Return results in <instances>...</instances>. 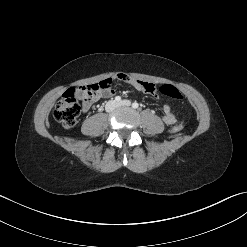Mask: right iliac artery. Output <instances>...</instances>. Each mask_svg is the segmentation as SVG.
Returning a JSON list of instances; mask_svg holds the SVG:
<instances>
[{
  "mask_svg": "<svg viewBox=\"0 0 247 247\" xmlns=\"http://www.w3.org/2000/svg\"><path fill=\"white\" fill-rule=\"evenodd\" d=\"M115 101H116V102H120V101H121V97H120V96H116V97H115Z\"/></svg>",
  "mask_w": 247,
  "mask_h": 247,
  "instance_id": "82829eb1",
  "label": "right iliac artery"
}]
</instances>
